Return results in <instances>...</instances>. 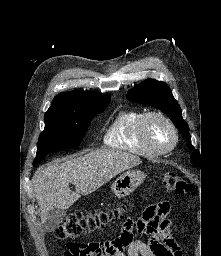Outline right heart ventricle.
Instances as JSON below:
<instances>
[{
  "label": "right heart ventricle",
  "instance_id": "obj_1",
  "mask_svg": "<svg viewBox=\"0 0 221 256\" xmlns=\"http://www.w3.org/2000/svg\"><path fill=\"white\" fill-rule=\"evenodd\" d=\"M143 114L139 110L120 111L108 125L104 134V143L109 147L143 156L155 155L138 136L139 122Z\"/></svg>",
  "mask_w": 221,
  "mask_h": 256
}]
</instances>
